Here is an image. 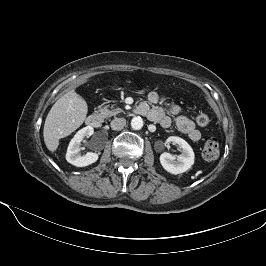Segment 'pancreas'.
<instances>
[{
  "label": "pancreas",
  "instance_id": "1",
  "mask_svg": "<svg viewBox=\"0 0 266 266\" xmlns=\"http://www.w3.org/2000/svg\"><path fill=\"white\" fill-rule=\"evenodd\" d=\"M97 113H99L103 118H108L111 116H116L117 114L123 112V110L121 108H113V106H105V107H100L98 109V111H96Z\"/></svg>",
  "mask_w": 266,
  "mask_h": 266
}]
</instances>
